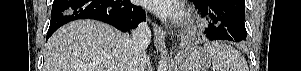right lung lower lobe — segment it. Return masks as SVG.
<instances>
[{"label": "right lung lower lobe", "instance_id": "1", "mask_svg": "<svg viewBox=\"0 0 301 71\" xmlns=\"http://www.w3.org/2000/svg\"><path fill=\"white\" fill-rule=\"evenodd\" d=\"M77 19H95L123 32L145 21V12L130 0H54L46 40L62 25Z\"/></svg>", "mask_w": 301, "mask_h": 71}]
</instances>
